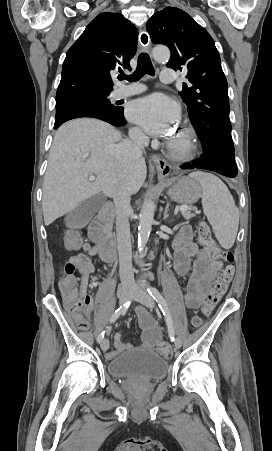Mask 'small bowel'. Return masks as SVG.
Listing matches in <instances>:
<instances>
[{
  "mask_svg": "<svg viewBox=\"0 0 272 451\" xmlns=\"http://www.w3.org/2000/svg\"><path fill=\"white\" fill-rule=\"evenodd\" d=\"M77 250L79 252L76 256L91 257L98 252L97 247L91 246L87 241L82 242V248ZM171 264L173 270L180 277L188 279L184 295L185 306L188 309L197 308L201 297L208 290L214 272L220 269L222 264L219 263V260H212L210 252L205 248L199 247L193 241V232L189 225H182L178 229L177 237L173 243ZM92 275L82 274V284L84 286L88 284ZM70 311L75 319L82 317L80 313H76L75 309ZM84 315L89 316L90 313H84ZM139 321L143 330L141 346L143 348L155 347L161 338L159 327L144 310L139 311ZM129 348H131V345L124 341L123 335L116 333L114 335V349L106 354V358L113 359Z\"/></svg>",
  "mask_w": 272,
  "mask_h": 451,
  "instance_id": "small-bowel-1",
  "label": "small bowel"
}]
</instances>
